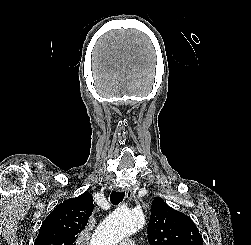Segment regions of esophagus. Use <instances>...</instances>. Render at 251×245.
Instances as JSON below:
<instances>
[{
	"label": "esophagus",
	"mask_w": 251,
	"mask_h": 245,
	"mask_svg": "<svg viewBox=\"0 0 251 245\" xmlns=\"http://www.w3.org/2000/svg\"><path fill=\"white\" fill-rule=\"evenodd\" d=\"M125 194H126L127 199H131L133 196V192L130 188L125 189Z\"/></svg>",
	"instance_id": "obj_1"
}]
</instances>
